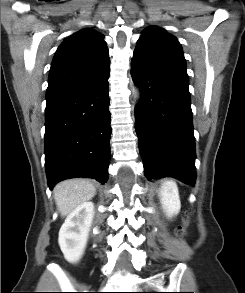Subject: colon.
Returning a JSON list of instances; mask_svg holds the SVG:
<instances>
[{"label":"colon","instance_id":"obj_1","mask_svg":"<svg viewBox=\"0 0 245 293\" xmlns=\"http://www.w3.org/2000/svg\"><path fill=\"white\" fill-rule=\"evenodd\" d=\"M188 222V217L185 218V223ZM177 235L179 237H183L186 235V229L184 226H179L178 229H177Z\"/></svg>","mask_w":245,"mask_h":293}]
</instances>
